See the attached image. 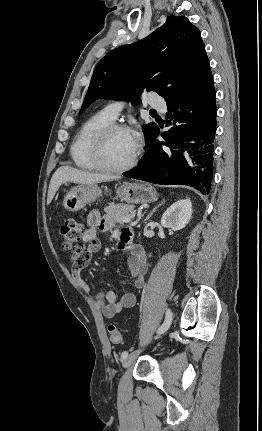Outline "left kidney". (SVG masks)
I'll list each match as a JSON object with an SVG mask.
<instances>
[{
  "mask_svg": "<svg viewBox=\"0 0 262 431\" xmlns=\"http://www.w3.org/2000/svg\"><path fill=\"white\" fill-rule=\"evenodd\" d=\"M192 204L189 199L178 200L163 214L161 225L174 231L183 229L191 220Z\"/></svg>",
  "mask_w": 262,
  "mask_h": 431,
  "instance_id": "5707ae66",
  "label": "left kidney"
}]
</instances>
